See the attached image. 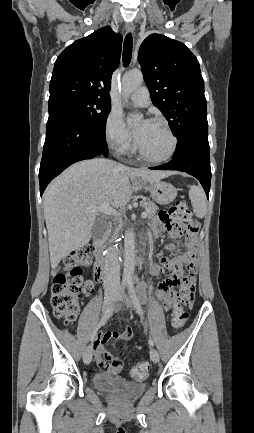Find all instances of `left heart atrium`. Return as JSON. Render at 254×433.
Wrapping results in <instances>:
<instances>
[{
	"label": "left heart atrium",
	"mask_w": 254,
	"mask_h": 433,
	"mask_svg": "<svg viewBox=\"0 0 254 433\" xmlns=\"http://www.w3.org/2000/svg\"><path fill=\"white\" fill-rule=\"evenodd\" d=\"M149 122H150V121L145 120V121H143V122H142V123H141V124L136 128V130H135V136H136L137 139L141 137V135H142L143 132L145 131V129H146L147 125L149 124Z\"/></svg>",
	"instance_id": "left-heart-atrium-1"
}]
</instances>
